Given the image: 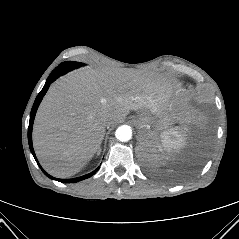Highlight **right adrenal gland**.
<instances>
[{
    "instance_id": "obj_1",
    "label": "right adrenal gland",
    "mask_w": 239,
    "mask_h": 239,
    "mask_svg": "<svg viewBox=\"0 0 239 239\" xmlns=\"http://www.w3.org/2000/svg\"><path fill=\"white\" fill-rule=\"evenodd\" d=\"M101 151V149H100V146H99V148H98V153Z\"/></svg>"
}]
</instances>
